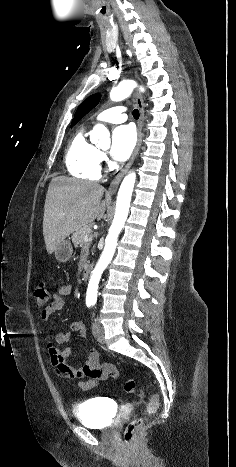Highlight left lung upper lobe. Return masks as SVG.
<instances>
[{"mask_svg":"<svg viewBox=\"0 0 236 467\" xmlns=\"http://www.w3.org/2000/svg\"><path fill=\"white\" fill-rule=\"evenodd\" d=\"M101 98V94L96 93L87 98L77 109L71 127L74 126L83 116H85L91 109H93Z\"/></svg>","mask_w":236,"mask_h":467,"instance_id":"1","label":"left lung upper lobe"}]
</instances>
